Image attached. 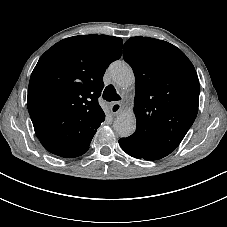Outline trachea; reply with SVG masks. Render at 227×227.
I'll use <instances>...</instances> for the list:
<instances>
[{
    "label": "trachea",
    "mask_w": 227,
    "mask_h": 227,
    "mask_svg": "<svg viewBox=\"0 0 227 227\" xmlns=\"http://www.w3.org/2000/svg\"><path fill=\"white\" fill-rule=\"evenodd\" d=\"M103 98L106 101H118L121 100V97L116 93V90L113 85H108L104 92H103Z\"/></svg>",
    "instance_id": "obj_1"
}]
</instances>
